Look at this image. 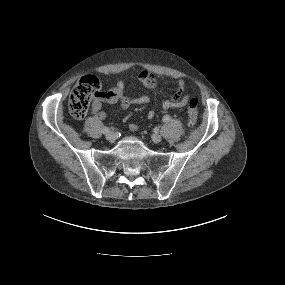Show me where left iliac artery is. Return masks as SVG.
<instances>
[{"instance_id":"obj_1","label":"left iliac artery","mask_w":285,"mask_h":285,"mask_svg":"<svg viewBox=\"0 0 285 285\" xmlns=\"http://www.w3.org/2000/svg\"><path fill=\"white\" fill-rule=\"evenodd\" d=\"M170 119H171V117L169 115L163 116V121L164 122H168Z\"/></svg>"}]
</instances>
